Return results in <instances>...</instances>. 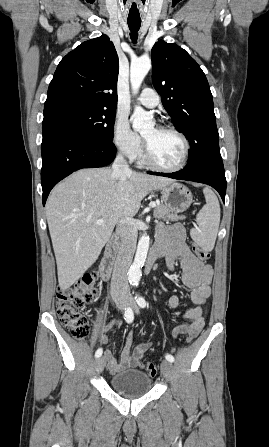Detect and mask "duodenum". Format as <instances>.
<instances>
[{
  "label": "duodenum",
  "mask_w": 269,
  "mask_h": 447,
  "mask_svg": "<svg viewBox=\"0 0 269 447\" xmlns=\"http://www.w3.org/2000/svg\"><path fill=\"white\" fill-rule=\"evenodd\" d=\"M117 250V237H113L110 242L108 243L104 256L101 261L100 265V275L103 280H108L111 276L114 262H115V255ZM162 252L158 249H152L149 253V256L146 261L145 265V272L149 273L158 259L161 257Z\"/></svg>",
  "instance_id": "410a0bca"
}]
</instances>
